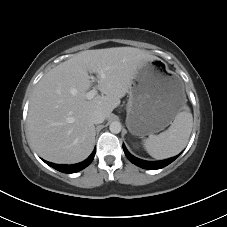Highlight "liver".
Instances as JSON below:
<instances>
[{"instance_id": "1", "label": "liver", "mask_w": 227, "mask_h": 227, "mask_svg": "<svg viewBox=\"0 0 227 227\" xmlns=\"http://www.w3.org/2000/svg\"><path fill=\"white\" fill-rule=\"evenodd\" d=\"M154 59L138 48L113 47L82 51L51 69L38 82L28 110V135L36 152L59 164L85 160L95 142L92 113L100 110L109 118L129 93L137 68ZM89 72L97 74L102 93L90 100Z\"/></svg>"}]
</instances>
